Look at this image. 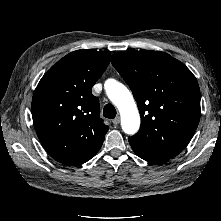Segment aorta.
<instances>
[{"label":"aorta","instance_id":"1","mask_svg":"<svg viewBox=\"0 0 221 221\" xmlns=\"http://www.w3.org/2000/svg\"><path fill=\"white\" fill-rule=\"evenodd\" d=\"M105 90L110 101L120 112L123 131L126 134H135L140 127V115L130 91L115 80H107Z\"/></svg>","mask_w":221,"mask_h":221}]
</instances>
